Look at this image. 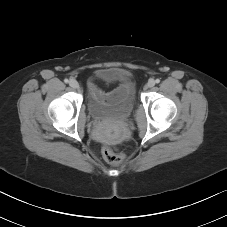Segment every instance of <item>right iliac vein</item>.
Wrapping results in <instances>:
<instances>
[{"instance_id":"63e3f726","label":"right iliac vein","mask_w":227,"mask_h":227,"mask_svg":"<svg viewBox=\"0 0 227 227\" xmlns=\"http://www.w3.org/2000/svg\"><path fill=\"white\" fill-rule=\"evenodd\" d=\"M69 85H70L73 89L79 88V83H78L75 79H71V80L69 81Z\"/></svg>"}]
</instances>
